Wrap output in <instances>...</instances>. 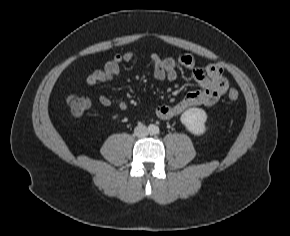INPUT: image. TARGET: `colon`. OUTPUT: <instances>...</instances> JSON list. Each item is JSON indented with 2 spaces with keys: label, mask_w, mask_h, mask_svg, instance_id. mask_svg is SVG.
<instances>
[{
  "label": "colon",
  "mask_w": 290,
  "mask_h": 236,
  "mask_svg": "<svg viewBox=\"0 0 290 236\" xmlns=\"http://www.w3.org/2000/svg\"><path fill=\"white\" fill-rule=\"evenodd\" d=\"M230 101H237L239 99V92L235 89H231L228 94ZM66 103L75 116L82 115L90 107V101L88 98L78 95H69L66 98Z\"/></svg>",
  "instance_id": "colon-1"
}]
</instances>
